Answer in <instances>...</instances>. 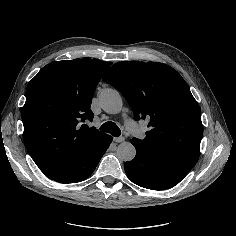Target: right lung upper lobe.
<instances>
[{
    "label": "right lung upper lobe",
    "instance_id": "obj_1",
    "mask_svg": "<svg viewBox=\"0 0 236 236\" xmlns=\"http://www.w3.org/2000/svg\"><path fill=\"white\" fill-rule=\"evenodd\" d=\"M111 64L95 59L57 61L43 67L29 82L22 109L24 144L50 179L80 151L107 135L77 125L93 120L92 96Z\"/></svg>",
    "mask_w": 236,
    "mask_h": 236
}]
</instances>
